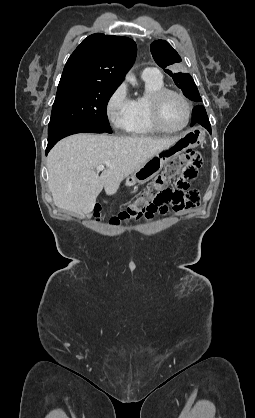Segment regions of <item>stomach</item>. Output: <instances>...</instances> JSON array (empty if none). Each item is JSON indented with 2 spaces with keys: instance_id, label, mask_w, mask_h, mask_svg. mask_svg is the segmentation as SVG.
Returning a JSON list of instances; mask_svg holds the SVG:
<instances>
[{
  "instance_id": "obj_1",
  "label": "stomach",
  "mask_w": 255,
  "mask_h": 418,
  "mask_svg": "<svg viewBox=\"0 0 255 418\" xmlns=\"http://www.w3.org/2000/svg\"><path fill=\"white\" fill-rule=\"evenodd\" d=\"M204 141V132L200 128H191L185 131L179 139L168 149L154 155L126 179V185L143 184L154 178L163 168L164 164L175 155L187 149L198 146Z\"/></svg>"
}]
</instances>
